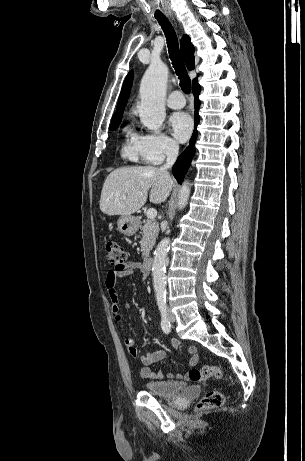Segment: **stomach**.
Masks as SVG:
<instances>
[{
    "label": "stomach",
    "instance_id": "0dacf381",
    "mask_svg": "<svg viewBox=\"0 0 305 461\" xmlns=\"http://www.w3.org/2000/svg\"><path fill=\"white\" fill-rule=\"evenodd\" d=\"M118 230L126 235L132 236L136 233L138 229V222L137 219L131 215L129 216H120L117 220Z\"/></svg>",
    "mask_w": 305,
    "mask_h": 461
}]
</instances>
